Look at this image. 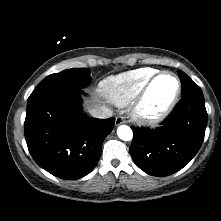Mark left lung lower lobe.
<instances>
[{
	"label": "left lung lower lobe",
	"instance_id": "obj_1",
	"mask_svg": "<svg viewBox=\"0 0 221 221\" xmlns=\"http://www.w3.org/2000/svg\"><path fill=\"white\" fill-rule=\"evenodd\" d=\"M206 126L204 97L181 98L160 127H134L130 155L136 165L149 175H171L196 155L204 140Z\"/></svg>",
	"mask_w": 221,
	"mask_h": 221
}]
</instances>
